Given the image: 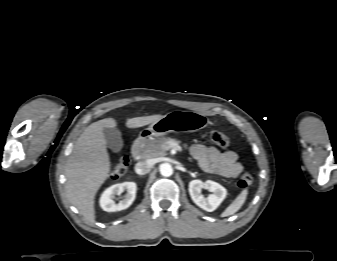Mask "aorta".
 Listing matches in <instances>:
<instances>
[{
    "label": "aorta",
    "instance_id": "obj_1",
    "mask_svg": "<svg viewBox=\"0 0 337 261\" xmlns=\"http://www.w3.org/2000/svg\"><path fill=\"white\" fill-rule=\"evenodd\" d=\"M160 173L162 176L169 177L173 174V168L169 163H163L160 165Z\"/></svg>",
    "mask_w": 337,
    "mask_h": 261
}]
</instances>
